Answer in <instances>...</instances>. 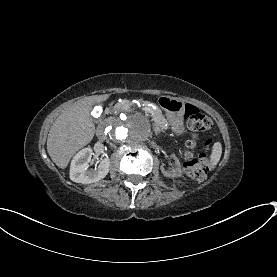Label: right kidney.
<instances>
[{
  "label": "right kidney",
  "mask_w": 277,
  "mask_h": 277,
  "mask_svg": "<svg viewBox=\"0 0 277 277\" xmlns=\"http://www.w3.org/2000/svg\"><path fill=\"white\" fill-rule=\"evenodd\" d=\"M93 151L87 147L80 150L72 159L70 165V179L76 183L90 184L103 179L109 172L110 160L103 159L97 168L89 169V162Z\"/></svg>",
  "instance_id": "right-kidney-1"
}]
</instances>
